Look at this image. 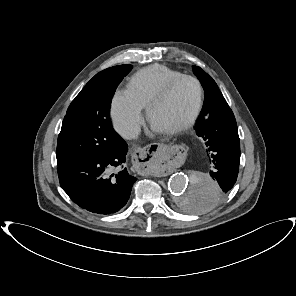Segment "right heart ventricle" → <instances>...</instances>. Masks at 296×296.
I'll list each match as a JSON object with an SVG mask.
<instances>
[{"mask_svg": "<svg viewBox=\"0 0 296 296\" xmlns=\"http://www.w3.org/2000/svg\"><path fill=\"white\" fill-rule=\"evenodd\" d=\"M181 75L167 66L154 64L139 70L129 79L127 92L142 108H146L154 96Z\"/></svg>", "mask_w": 296, "mask_h": 296, "instance_id": "right-heart-ventricle-1", "label": "right heart ventricle"}]
</instances>
